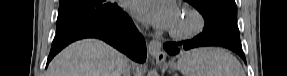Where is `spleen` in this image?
<instances>
[{
	"mask_svg": "<svg viewBox=\"0 0 287 76\" xmlns=\"http://www.w3.org/2000/svg\"><path fill=\"white\" fill-rule=\"evenodd\" d=\"M177 63L184 76H245L236 57L219 47L191 49Z\"/></svg>",
	"mask_w": 287,
	"mask_h": 76,
	"instance_id": "1",
	"label": "spleen"
}]
</instances>
